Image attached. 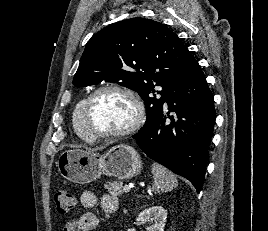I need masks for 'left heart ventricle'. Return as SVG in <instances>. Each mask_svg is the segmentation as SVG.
I'll return each mask as SVG.
<instances>
[{"instance_id":"left-heart-ventricle-1","label":"left heart ventricle","mask_w":268,"mask_h":231,"mask_svg":"<svg viewBox=\"0 0 268 231\" xmlns=\"http://www.w3.org/2000/svg\"><path fill=\"white\" fill-rule=\"evenodd\" d=\"M135 110L131 101L114 92H103L91 103L89 121L93 130H119L134 118Z\"/></svg>"}]
</instances>
